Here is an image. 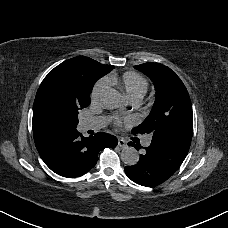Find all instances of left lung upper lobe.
Returning a JSON list of instances; mask_svg holds the SVG:
<instances>
[{
  "instance_id": "obj_1",
  "label": "left lung upper lobe",
  "mask_w": 228,
  "mask_h": 228,
  "mask_svg": "<svg viewBox=\"0 0 228 228\" xmlns=\"http://www.w3.org/2000/svg\"><path fill=\"white\" fill-rule=\"evenodd\" d=\"M135 69L147 75L156 89L149 116L132 129L134 135L149 134L191 143L193 113L188 91L181 79L167 66L148 62Z\"/></svg>"
}]
</instances>
